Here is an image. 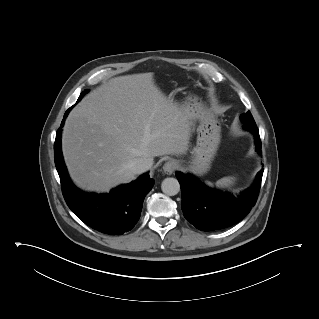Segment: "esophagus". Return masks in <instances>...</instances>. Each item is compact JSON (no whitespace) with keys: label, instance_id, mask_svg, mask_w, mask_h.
Segmentation results:
<instances>
[{"label":"esophagus","instance_id":"34e87169","mask_svg":"<svg viewBox=\"0 0 319 319\" xmlns=\"http://www.w3.org/2000/svg\"><path fill=\"white\" fill-rule=\"evenodd\" d=\"M178 167V164L174 160H168L164 165H163V171L166 174H172L176 168Z\"/></svg>","mask_w":319,"mask_h":319}]
</instances>
